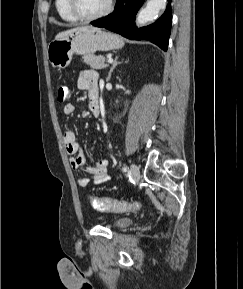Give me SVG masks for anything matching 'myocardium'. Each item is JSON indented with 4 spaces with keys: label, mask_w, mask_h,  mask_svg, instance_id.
<instances>
[{
    "label": "myocardium",
    "mask_w": 243,
    "mask_h": 289,
    "mask_svg": "<svg viewBox=\"0 0 243 289\" xmlns=\"http://www.w3.org/2000/svg\"><path fill=\"white\" fill-rule=\"evenodd\" d=\"M68 7H69L71 14L76 19L81 20V21H94V20L106 17L112 12L114 8V0H108L107 6L103 11L95 15H90V16L83 15L82 13L79 12L77 8L76 0H68Z\"/></svg>",
    "instance_id": "myocardium-1"
}]
</instances>
